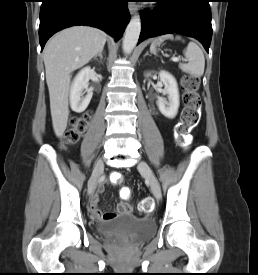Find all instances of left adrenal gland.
<instances>
[{"instance_id": "a2214340", "label": "left adrenal gland", "mask_w": 258, "mask_h": 275, "mask_svg": "<svg viewBox=\"0 0 258 275\" xmlns=\"http://www.w3.org/2000/svg\"><path fill=\"white\" fill-rule=\"evenodd\" d=\"M147 55H149L148 51L145 53L144 57L147 56Z\"/></svg>"}]
</instances>
